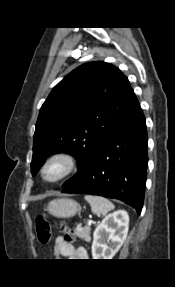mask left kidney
I'll use <instances>...</instances> for the list:
<instances>
[{
    "label": "left kidney",
    "mask_w": 175,
    "mask_h": 287,
    "mask_svg": "<svg viewBox=\"0 0 175 287\" xmlns=\"http://www.w3.org/2000/svg\"><path fill=\"white\" fill-rule=\"evenodd\" d=\"M129 227V216L124 210L108 214L93 234V259H112L124 243Z\"/></svg>",
    "instance_id": "1"
}]
</instances>
